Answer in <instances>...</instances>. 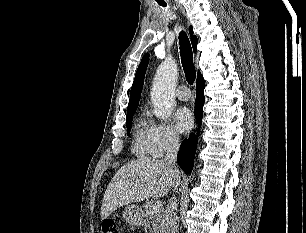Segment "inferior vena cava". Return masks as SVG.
I'll use <instances>...</instances> for the list:
<instances>
[{
  "mask_svg": "<svg viewBox=\"0 0 306 233\" xmlns=\"http://www.w3.org/2000/svg\"><path fill=\"white\" fill-rule=\"evenodd\" d=\"M179 150V138L175 135L171 136L166 146V156L164 162L174 169L177 174V179L174 183V190L177 189L180 184L179 170L176 168V158ZM177 200L173 196L168 203L165 212V233H179V227L176 220Z\"/></svg>",
  "mask_w": 306,
  "mask_h": 233,
  "instance_id": "inferior-vena-cava-1",
  "label": "inferior vena cava"
}]
</instances>
